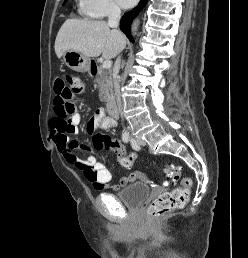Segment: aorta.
I'll list each match as a JSON object with an SVG mask.
<instances>
[{"label":"aorta","instance_id":"762f6f07","mask_svg":"<svg viewBox=\"0 0 248 258\" xmlns=\"http://www.w3.org/2000/svg\"><path fill=\"white\" fill-rule=\"evenodd\" d=\"M138 25H139V22L138 21H135L134 23H133V26H132V31H136L137 30V28H138Z\"/></svg>","mask_w":248,"mask_h":258}]
</instances>
